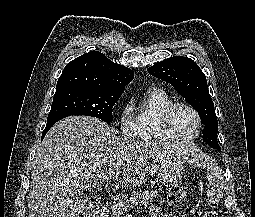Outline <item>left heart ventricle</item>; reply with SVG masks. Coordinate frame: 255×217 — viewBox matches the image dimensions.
<instances>
[{"label":"left heart ventricle","instance_id":"b2bd125f","mask_svg":"<svg viewBox=\"0 0 255 217\" xmlns=\"http://www.w3.org/2000/svg\"><path fill=\"white\" fill-rule=\"evenodd\" d=\"M172 124L176 132L184 136L194 134L198 126L196 116L184 107L175 110L172 116Z\"/></svg>","mask_w":255,"mask_h":217}]
</instances>
